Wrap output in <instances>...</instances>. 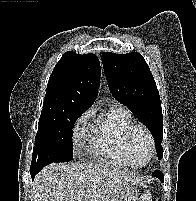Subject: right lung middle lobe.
<instances>
[{"instance_id":"obj_1","label":"right lung middle lobe","mask_w":196,"mask_h":201,"mask_svg":"<svg viewBox=\"0 0 196 201\" xmlns=\"http://www.w3.org/2000/svg\"><path fill=\"white\" fill-rule=\"evenodd\" d=\"M83 112L81 109H73L61 114L41 115L31 170L39 171L50 163L72 160V129Z\"/></svg>"}]
</instances>
